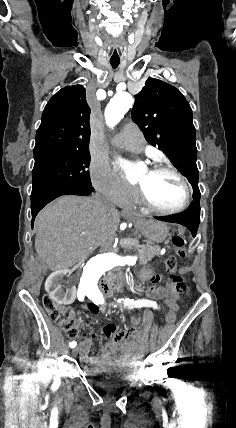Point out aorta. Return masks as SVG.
<instances>
[{
	"label": "aorta",
	"mask_w": 236,
	"mask_h": 428,
	"mask_svg": "<svg viewBox=\"0 0 236 428\" xmlns=\"http://www.w3.org/2000/svg\"><path fill=\"white\" fill-rule=\"evenodd\" d=\"M134 100L129 93H118L110 100L105 109V120L109 127L115 126L133 106ZM133 256H119L114 252L92 257L84 266L80 279V288L85 295L100 294L98 282L101 276L116 266L134 265Z\"/></svg>",
	"instance_id": "aorta-1"
}]
</instances>
